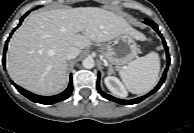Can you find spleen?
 <instances>
[{
    "mask_svg": "<svg viewBox=\"0 0 194 133\" xmlns=\"http://www.w3.org/2000/svg\"><path fill=\"white\" fill-rule=\"evenodd\" d=\"M160 71L159 55L152 51L143 57H138L119 71L125 87L134 94H145L152 90Z\"/></svg>",
    "mask_w": 194,
    "mask_h": 133,
    "instance_id": "1",
    "label": "spleen"
}]
</instances>
